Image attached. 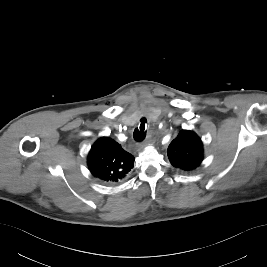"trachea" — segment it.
Listing matches in <instances>:
<instances>
[{
	"instance_id": "3493384b",
	"label": "trachea",
	"mask_w": 267,
	"mask_h": 267,
	"mask_svg": "<svg viewBox=\"0 0 267 267\" xmlns=\"http://www.w3.org/2000/svg\"><path fill=\"white\" fill-rule=\"evenodd\" d=\"M140 122L141 124L139 126V129L136 128L133 133L134 139L138 142L143 141L146 137L145 124L147 123V119L143 117L141 118Z\"/></svg>"
}]
</instances>
